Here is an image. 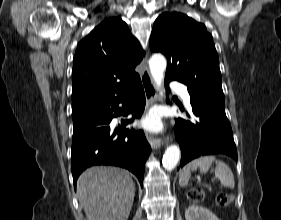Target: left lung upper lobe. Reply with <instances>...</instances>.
Here are the masks:
<instances>
[{"mask_svg":"<svg viewBox=\"0 0 281 220\" xmlns=\"http://www.w3.org/2000/svg\"><path fill=\"white\" fill-rule=\"evenodd\" d=\"M150 48L168 59L165 81L184 83L202 101L225 104L219 58L203 24L182 13L165 12L155 20Z\"/></svg>","mask_w":281,"mask_h":220,"instance_id":"1","label":"left lung upper lobe"}]
</instances>
